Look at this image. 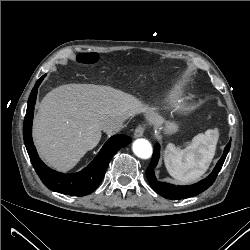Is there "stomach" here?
<instances>
[{
	"label": "stomach",
	"instance_id": "obj_1",
	"mask_svg": "<svg viewBox=\"0 0 250 250\" xmlns=\"http://www.w3.org/2000/svg\"><path fill=\"white\" fill-rule=\"evenodd\" d=\"M164 131L166 134H174L178 131V125L173 122H168L164 126Z\"/></svg>",
	"mask_w": 250,
	"mask_h": 250
}]
</instances>
